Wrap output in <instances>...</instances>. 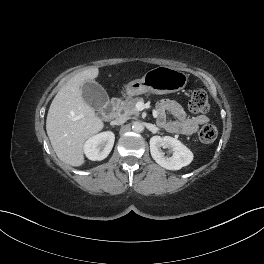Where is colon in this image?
<instances>
[{"label": "colon", "mask_w": 264, "mask_h": 264, "mask_svg": "<svg viewBox=\"0 0 264 264\" xmlns=\"http://www.w3.org/2000/svg\"><path fill=\"white\" fill-rule=\"evenodd\" d=\"M209 103L208 97L204 90L195 89L189 100V109L193 113H205L208 111ZM199 139L203 143H211L217 137V129L212 124L204 125L199 131Z\"/></svg>", "instance_id": "5ec220e1"}]
</instances>
